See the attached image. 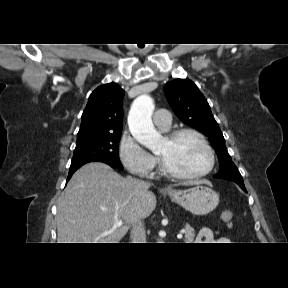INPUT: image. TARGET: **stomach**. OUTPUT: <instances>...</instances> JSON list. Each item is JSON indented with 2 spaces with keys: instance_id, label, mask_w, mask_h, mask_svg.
I'll return each mask as SVG.
<instances>
[{
  "instance_id": "stomach-1",
  "label": "stomach",
  "mask_w": 288,
  "mask_h": 288,
  "mask_svg": "<svg viewBox=\"0 0 288 288\" xmlns=\"http://www.w3.org/2000/svg\"><path fill=\"white\" fill-rule=\"evenodd\" d=\"M169 196L194 215H206L219 203L218 193L203 183L195 184L189 189L169 192Z\"/></svg>"
}]
</instances>
